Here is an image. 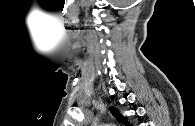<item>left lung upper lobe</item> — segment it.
Here are the masks:
<instances>
[{
  "label": "left lung upper lobe",
  "instance_id": "1",
  "mask_svg": "<svg viewBox=\"0 0 195 126\" xmlns=\"http://www.w3.org/2000/svg\"><path fill=\"white\" fill-rule=\"evenodd\" d=\"M110 112L120 121H122L124 124L130 126L125 118L119 113V111L115 107L109 108Z\"/></svg>",
  "mask_w": 195,
  "mask_h": 126
}]
</instances>
